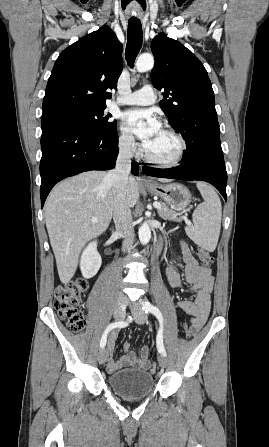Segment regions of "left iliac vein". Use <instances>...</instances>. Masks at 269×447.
<instances>
[{"label": "left iliac vein", "mask_w": 269, "mask_h": 447, "mask_svg": "<svg viewBox=\"0 0 269 447\" xmlns=\"http://www.w3.org/2000/svg\"><path fill=\"white\" fill-rule=\"evenodd\" d=\"M131 311L133 313L134 320L137 324H144L147 320L146 312L139 306H132ZM158 363L161 367H166L168 363L167 357L160 354L158 356Z\"/></svg>", "instance_id": "1"}]
</instances>
